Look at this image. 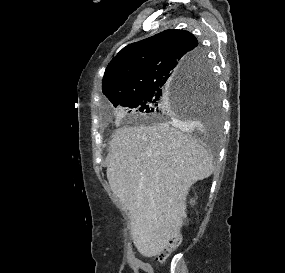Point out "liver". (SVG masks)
I'll list each match as a JSON object with an SVG mask.
<instances>
[{
	"label": "liver",
	"instance_id": "liver-1",
	"mask_svg": "<svg viewBox=\"0 0 285 273\" xmlns=\"http://www.w3.org/2000/svg\"><path fill=\"white\" fill-rule=\"evenodd\" d=\"M181 130L186 126L175 121L174 127H122L112 135L107 179L131 215L133 242L145 257L179 238L190 187L214 171L210 153Z\"/></svg>",
	"mask_w": 285,
	"mask_h": 273
}]
</instances>
